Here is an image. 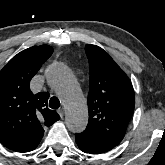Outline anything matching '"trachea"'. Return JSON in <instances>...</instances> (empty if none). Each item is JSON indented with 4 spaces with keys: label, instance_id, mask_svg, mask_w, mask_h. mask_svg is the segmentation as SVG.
Returning <instances> with one entry per match:
<instances>
[{
    "label": "trachea",
    "instance_id": "3493384b",
    "mask_svg": "<svg viewBox=\"0 0 165 165\" xmlns=\"http://www.w3.org/2000/svg\"><path fill=\"white\" fill-rule=\"evenodd\" d=\"M49 107L52 109H58L60 107V101L56 97H51Z\"/></svg>",
    "mask_w": 165,
    "mask_h": 165
}]
</instances>
